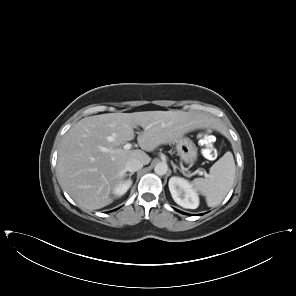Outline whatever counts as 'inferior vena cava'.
I'll use <instances>...</instances> for the list:
<instances>
[{
	"label": "inferior vena cava",
	"mask_w": 296,
	"mask_h": 296,
	"mask_svg": "<svg viewBox=\"0 0 296 296\" xmlns=\"http://www.w3.org/2000/svg\"><path fill=\"white\" fill-rule=\"evenodd\" d=\"M143 167V163L138 159H131L126 163V171L136 172Z\"/></svg>",
	"instance_id": "inferior-vena-cava-1"
}]
</instances>
